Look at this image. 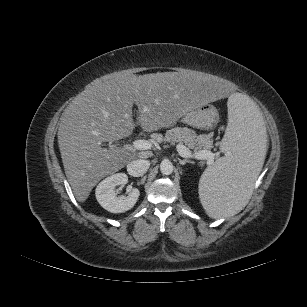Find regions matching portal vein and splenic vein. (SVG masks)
I'll use <instances>...</instances> for the list:
<instances>
[{
	"instance_id": "18ae733b",
	"label": "portal vein and splenic vein",
	"mask_w": 307,
	"mask_h": 307,
	"mask_svg": "<svg viewBox=\"0 0 307 307\" xmlns=\"http://www.w3.org/2000/svg\"><path fill=\"white\" fill-rule=\"evenodd\" d=\"M153 147V143L148 140H135L132 144V148L137 150H148ZM177 152L181 157L195 158L197 160H207L209 165L213 164L215 159V154L208 150H201L195 153H192L185 145L178 144L176 145Z\"/></svg>"
}]
</instances>
